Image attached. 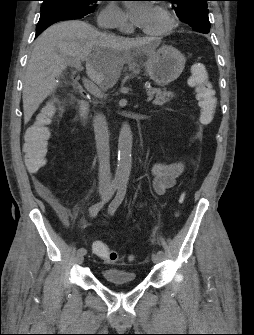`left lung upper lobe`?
Listing matches in <instances>:
<instances>
[{
  "label": "left lung upper lobe",
  "mask_w": 254,
  "mask_h": 335,
  "mask_svg": "<svg viewBox=\"0 0 254 335\" xmlns=\"http://www.w3.org/2000/svg\"><path fill=\"white\" fill-rule=\"evenodd\" d=\"M173 3L179 19L189 24L195 31L209 33L210 22L208 18L207 1L210 0H168Z\"/></svg>",
  "instance_id": "1"
}]
</instances>
